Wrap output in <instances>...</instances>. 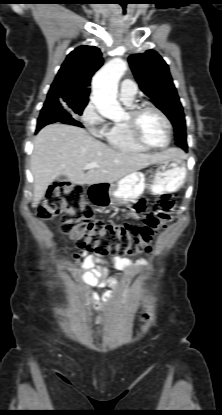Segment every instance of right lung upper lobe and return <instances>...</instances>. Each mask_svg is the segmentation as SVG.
<instances>
[{"mask_svg":"<svg viewBox=\"0 0 222 415\" xmlns=\"http://www.w3.org/2000/svg\"><path fill=\"white\" fill-rule=\"evenodd\" d=\"M102 64L100 49L94 46L77 47L62 64L46 102L63 100L88 103L91 78ZM44 107L51 109L47 105Z\"/></svg>","mask_w":222,"mask_h":415,"instance_id":"1","label":"right lung upper lobe"}]
</instances>
